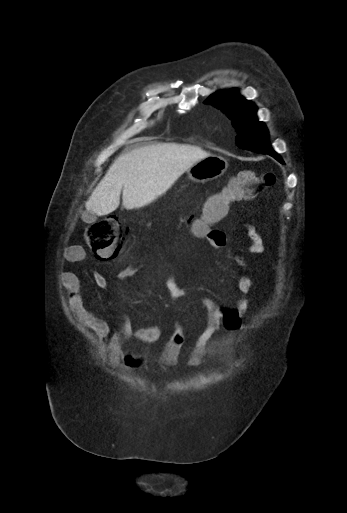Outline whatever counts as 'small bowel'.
I'll return each mask as SVG.
<instances>
[{"label": "small bowel", "mask_w": 347, "mask_h": 513, "mask_svg": "<svg viewBox=\"0 0 347 513\" xmlns=\"http://www.w3.org/2000/svg\"><path fill=\"white\" fill-rule=\"evenodd\" d=\"M246 233L247 249L251 253L262 254L265 252V245L257 231L256 227L248 224ZM197 238L206 240L213 248L219 249L227 245L228 239L226 232L218 227H212L203 234H195ZM85 252L80 246H73L67 252V261H80ZM142 261H134L125 265L118 277L121 280L131 278L139 269ZM93 281L98 287H107V280L102 274H94ZM60 282L67 295L68 307L76 319L83 327L91 330L102 345H109L110 357L121 367L127 369H137L143 366L145 359L142 353H125L122 351V344L130 339H135L146 345H153L159 342L165 335V326L154 325L145 327H135L127 319L122 321L118 331L111 333L109 323L89 311L81 295V284L78 277L71 272L63 271L60 274ZM164 284L168 294L171 297H181L187 292L179 284L175 276L167 274L164 277ZM235 302L233 306H222L216 303L212 298L205 297L202 303L206 309V326L197 337L192 347L187 353L186 364L194 368L199 366L203 358L216 352V345L211 340L221 331L237 330L242 326V317L249 310L248 296L252 289L250 278L242 273L235 277ZM172 333L158 357L160 366L169 368L179 363L184 355L186 338L184 328L177 321H173Z\"/></svg>", "instance_id": "1"}]
</instances>
